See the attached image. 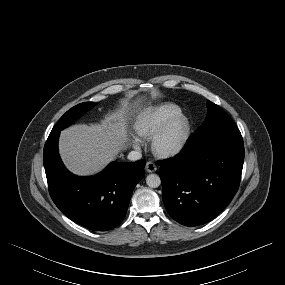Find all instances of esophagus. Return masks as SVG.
I'll return each instance as SVG.
<instances>
[{
  "label": "esophagus",
  "mask_w": 285,
  "mask_h": 285,
  "mask_svg": "<svg viewBox=\"0 0 285 285\" xmlns=\"http://www.w3.org/2000/svg\"><path fill=\"white\" fill-rule=\"evenodd\" d=\"M145 169L147 172L152 173V172H155L157 170V165L152 161H148L146 163Z\"/></svg>",
  "instance_id": "34e87169"
}]
</instances>
